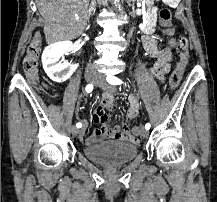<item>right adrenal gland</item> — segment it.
I'll list each match as a JSON object with an SVG mask.
<instances>
[{
  "label": "right adrenal gland",
  "mask_w": 217,
  "mask_h": 202,
  "mask_svg": "<svg viewBox=\"0 0 217 202\" xmlns=\"http://www.w3.org/2000/svg\"><path fill=\"white\" fill-rule=\"evenodd\" d=\"M95 10H96V2H91L90 6L88 8V14H87L88 22H90L91 16H93V14H95Z\"/></svg>",
  "instance_id": "2a0ac1e0"
}]
</instances>
